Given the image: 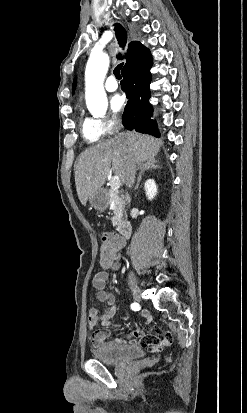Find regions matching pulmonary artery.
I'll list each match as a JSON object with an SVG mask.
<instances>
[{
	"mask_svg": "<svg viewBox=\"0 0 247 413\" xmlns=\"http://www.w3.org/2000/svg\"><path fill=\"white\" fill-rule=\"evenodd\" d=\"M104 86L108 92H114L118 89V82L113 76H110L106 79Z\"/></svg>",
	"mask_w": 247,
	"mask_h": 413,
	"instance_id": "obj_1",
	"label": "pulmonary artery"
}]
</instances>
